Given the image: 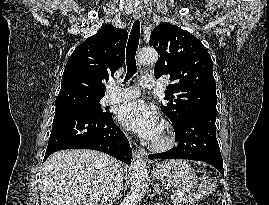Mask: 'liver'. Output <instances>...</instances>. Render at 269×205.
I'll list each match as a JSON object with an SVG mask.
<instances>
[{
  "label": "liver",
  "instance_id": "obj_1",
  "mask_svg": "<svg viewBox=\"0 0 269 205\" xmlns=\"http://www.w3.org/2000/svg\"><path fill=\"white\" fill-rule=\"evenodd\" d=\"M112 160L94 150H65L44 163L41 205H98Z\"/></svg>",
  "mask_w": 269,
  "mask_h": 205
}]
</instances>
